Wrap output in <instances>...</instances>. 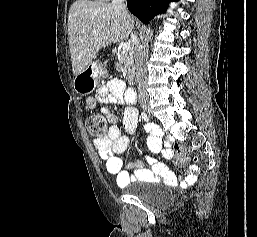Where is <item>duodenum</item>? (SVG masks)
Masks as SVG:
<instances>
[{"label":"duodenum","mask_w":257,"mask_h":237,"mask_svg":"<svg viewBox=\"0 0 257 237\" xmlns=\"http://www.w3.org/2000/svg\"><path fill=\"white\" fill-rule=\"evenodd\" d=\"M126 99L129 103L134 104L136 102V93L134 88L129 87L125 93Z\"/></svg>","instance_id":"obj_1"}]
</instances>
